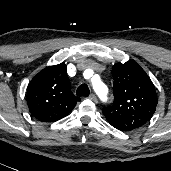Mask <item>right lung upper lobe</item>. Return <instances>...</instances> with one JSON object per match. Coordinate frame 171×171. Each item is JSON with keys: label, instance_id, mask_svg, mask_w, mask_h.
Returning <instances> with one entry per match:
<instances>
[{"label": "right lung upper lobe", "instance_id": "obj_1", "mask_svg": "<svg viewBox=\"0 0 171 171\" xmlns=\"http://www.w3.org/2000/svg\"><path fill=\"white\" fill-rule=\"evenodd\" d=\"M29 111L41 122H55L67 116L80 98L70 89L65 63L40 71L27 89Z\"/></svg>", "mask_w": 171, "mask_h": 171}]
</instances>
